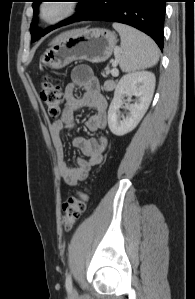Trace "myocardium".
Here are the masks:
<instances>
[{
	"mask_svg": "<svg viewBox=\"0 0 195 299\" xmlns=\"http://www.w3.org/2000/svg\"><path fill=\"white\" fill-rule=\"evenodd\" d=\"M52 3L59 4L60 7L62 8V11L57 17L53 19H48L45 17L44 11L46 7ZM77 7H78L77 3L73 0L43 1L39 5L38 16L44 23L48 25H57L71 18L76 13Z\"/></svg>",
	"mask_w": 195,
	"mask_h": 299,
	"instance_id": "1",
	"label": "myocardium"
}]
</instances>
